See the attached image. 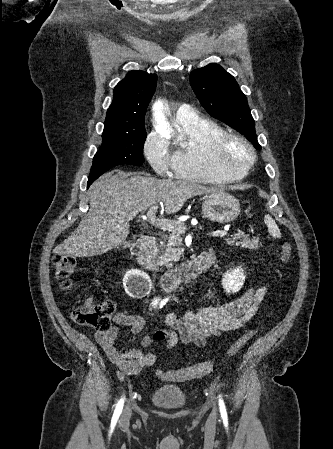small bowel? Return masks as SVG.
<instances>
[{
  "label": "small bowel",
  "mask_w": 333,
  "mask_h": 449,
  "mask_svg": "<svg viewBox=\"0 0 333 449\" xmlns=\"http://www.w3.org/2000/svg\"><path fill=\"white\" fill-rule=\"evenodd\" d=\"M265 287L251 288L237 299L221 305L205 306L197 311H187L182 317L169 313L165 317V327L146 335L142 340L143 348L153 341L163 349H172L179 343L203 347L208 337L218 336L226 331L236 330L249 322L257 312L265 295ZM114 326L106 331H96V342L104 350L109 360L124 374L137 375L142 368L153 366L156 362L154 352L140 349L120 351L116 345L123 329L138 334L145 326V320L138 314L118 312Z\"/></svg>",
  "instance_id": "c3829d8e"
}]
</instances>
